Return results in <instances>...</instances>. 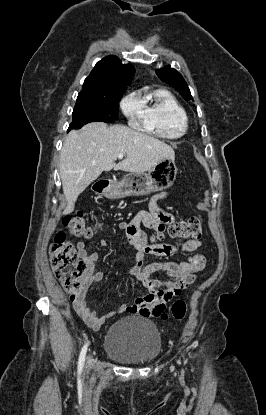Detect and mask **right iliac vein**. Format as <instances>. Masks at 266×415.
<instances>
[{
  "mask_svg": "<svg viewBox=\"0 0 266 415\" xmlns=\"http://www.w3.org/2000/svg\"><path fill=\"white\" fill-rule=\"evenodd\" d=\"M92 364H93V359H92V357H91V356H89V357L87 358V366H88V367H90V366H92Z\"/></svg>",
  "mask_w": 266,
  "mask_h": 415,
  "instance_id": "63e3f726",
  "label": "right iliac vein"
}]
</instances>
